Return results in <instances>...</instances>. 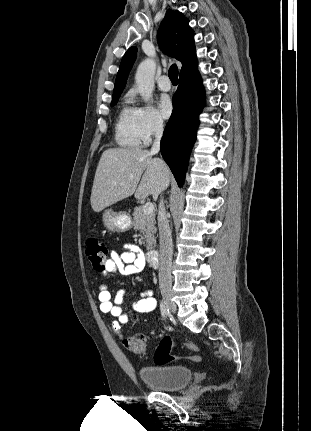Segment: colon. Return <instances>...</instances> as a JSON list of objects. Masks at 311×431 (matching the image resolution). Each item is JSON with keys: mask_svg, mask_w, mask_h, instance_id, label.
<instances>
[{"mask_svg": "<svg viewBox=\"0 0 311 431\" xmlns=\"http://www.w3.org/2000/svg\"><path fill=\"white\" fill-rule=\"evenodd\" d=\"M86 255L92 264L93 268L98 272H103L105 269V262L109 258V251L107 246L95 239H89L86 243ZM125 348L138 356L144 357L148 353L146 339L143 334H136L132 337L126 338L123 341ZM175 343L169 336H165L159 343L155 354L154 361L158 365H164L174 360L172 355V349ZM182 346L191 351H199V347L193 343H183ZM187 359L193 362H200L201 357L199 355L188 356Z\"/></svg>", "mask_w": 311, "mask_h": 431, "instance_id": "1", "label": "colon"}]
</instances>
